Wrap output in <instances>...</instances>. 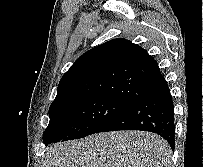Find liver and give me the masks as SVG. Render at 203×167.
Here are the masks:
<instances>
[{"label": "liver", "instance_id": "6515ba94", "mask_svg": "<svg viewBox=\"0 0 203 167\" xmlns=\"http://www.w3.org/2000/svg\"><path fill=\"white\" fill-rule=\"evenodd\" d=\"M171 155L156 134L105 132L52 146L42 167H170Z\"/></svg>", "mask_w": 203, "mask_h": 167}]
</instances>
